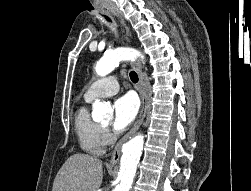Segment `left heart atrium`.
<instances>
[{
	"mask_svg": "<svg viewBox=\"0 0 251 191\" xmlns=\"http://www.w3.org/2000/svg\"><path fill=\"white\" fill-rule=\"evenodd\" d=\"M113 129L116 132L124 131L135 119L138 105L131 96H125L115 101Z\"/></svg>",
	"mask_w": 251,
	"mask_h": 191,
	"instance_id": "39dd6f15",
	"label": "left heart atrium"
}]
</instances>
